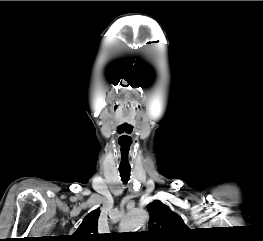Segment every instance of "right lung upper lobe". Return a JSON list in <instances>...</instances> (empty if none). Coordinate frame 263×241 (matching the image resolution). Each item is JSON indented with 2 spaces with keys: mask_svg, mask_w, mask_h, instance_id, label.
I'll return each mask as SVG.
<instances>
[{
  "mask_svg": "<svg viewBox=\"0 0 263 241\" xmlns=\"http://www.w3.org/2000/svg\"><path fill=\"white\" fill-rule=\"evenodd\" d=\"M99 215V208L90 212L71 236V241H102L103 236L97 232Z\"/></svg>",
  "mask_w": 263,
  "mask_h": 241,
  "instance_id": "1",
  "label": "right lung upper lobe"
}]
</instances>
